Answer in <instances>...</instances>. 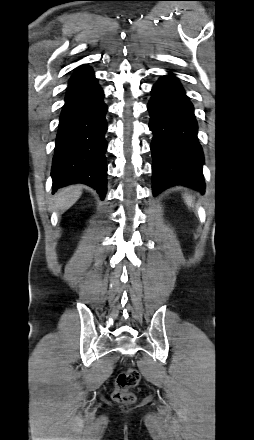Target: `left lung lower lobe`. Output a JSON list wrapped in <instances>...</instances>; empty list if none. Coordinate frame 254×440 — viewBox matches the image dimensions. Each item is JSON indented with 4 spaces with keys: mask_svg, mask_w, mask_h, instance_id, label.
<instances>
[{
    "mask_svg": "<svg viewBox=\"0 0 254 440\" xmlns=\"http://www.w3.org/2000/svg\"><path fill=\"white\" fill-rule=\"evenodd\" d=\"M153 132V194L174 185L195 188L202 193L203 151L197 138L194 108L177 77H161L148 103Z\"/></svg>",
    "mask_w": 254,
    "mask_h": 440,
    "instance_id": "left-lung-lower-lobe-1",
    "label": "left lung lower lobe"
}]
</instances>
